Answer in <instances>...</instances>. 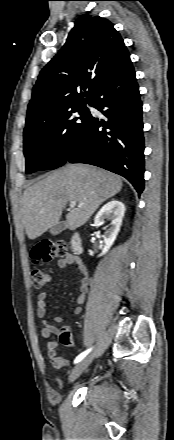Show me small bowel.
<instances>
[{
	"instance_id": "1",
	"label": "small bowel",
	"mask_w": 174,
	"mask_h": 440,
	"mask_svg": "<svg viewBox=\"0 0 174 440\" xmlns=\"http://www.w3.org/2000/svg\"><path fill=\"white\" fill-rule=\"evenodd\" d=\"M73 267L80 275V286L79 293L76 298V303L78 305L82 304L85 299L89 288V275L87 269L83 262L74 255H68L64 258L58 260V267L61 269L67 267ZM37 304V317L42 320L41 327V335L46 338V348L47 354L52 359V363L56 368H62L67 364V360L61 356L57 355V346L58 342L54 337H58L62 344L68 347H75V344L72 339V327H58L54 324H50L45 320L47 313V293L40 292L37 295L36 299ZM81 307L76 306L73 310V313L78 315L81 313ZM56 323H62L64 321V317L61 315H57L54 318Z\"/></svg>"
}]
</instances>
